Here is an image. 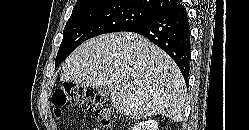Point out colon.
I'll list each match as a JSON object with an SVG mask.
<instances>
[{
	"instance_id": "5ec220e1",
	"label": "colon",
	"mask_w": 249,
	"mask_h": 130,
	"mask_svg": "<svg viewBox=\"0 0 249 130\" xmlns=\"http://www.w3.org/2000/svg\"><path fill=\"white\" fill-rule=\"evenodd\" d=\"M51 103L57 116L61 115L65 106L79 105L101 122L103 130H112L113 113L110 102L90 89L73 83H63L53 92Z\"/></svg>"
}]
</instances>
